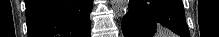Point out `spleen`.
Segmentation results:
<instances>
[{
    "label": "spleen",
    "mask_w": 219,
    "mask_h": 37,
    "mask_svg": "<svg viewBox=\"0 0 219 37\" xmlns=\"http://www.w3.org/2000/svg\"><path fill=\"white\" fill-rule=\"evenodd\" d=\"M155 37H175L169 33L166 29L159 27Z\"/></svg>",
    "instance_id": "1"
}]
</instances>
